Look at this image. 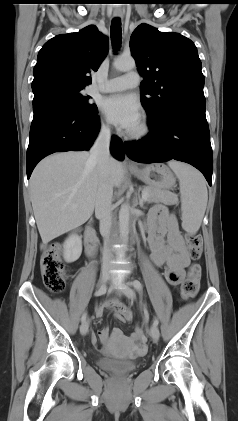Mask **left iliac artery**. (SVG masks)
<instances>
[{
    "instance_id": "1",
    "label": "left iliac artery",
    "mask_w": 238,
    "mask_h": 421,
    "mask_svg": "<svg viewBox=\"0 0 238 421\" xmlns=\"http://www.w3.org/2000/svg\"><path fill=\"white\" fill-rule=\"evenodd\" d=\"M132 285L134 286V288L137 290V291H142V284L140 283V281H138V280H134L133 282H132ZM158 319H155L154 320V322H153V324L154 325H158Z\"/></svg>"
}]
</instances>
